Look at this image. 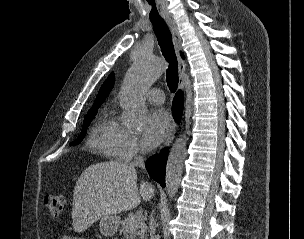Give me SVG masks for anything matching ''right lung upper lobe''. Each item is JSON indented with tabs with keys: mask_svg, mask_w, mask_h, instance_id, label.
Returning <instances> with one entry per match:
<instances>
[{
	"mask_svg": "<svg viewBox=\"0 0 304 239\" xmlns=\"http://www.w3.org/2000/svg\"><path fill=\"white\" fill-rule=\"evenodd\" d=\"M181 55L183 56V54ZM114 82H115V78H114V73L112 72L101 86L92 108L101 106V104L104 102V100L112 90L114 86Z\"/></svg>",
	"mask_w": 304,
	"mask_h": 239,
	"instance_id": "obj_1",
	"label": "right lung upper lobe"
}]
</instances>
